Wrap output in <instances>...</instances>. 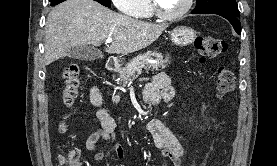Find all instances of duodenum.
<instances>
[{
	"instance_id": "duodenum-1",
	"label": "duodenum",
	"mask_w": 277,
	"mask_h": 166,
	"mask_svg": "<svg viewBox=\"0 0 277 166\" xmlns=\"http://www.w3.org/2000/svg\"><path fill=\"white\" fill-rule=\"evenodd\" d=\"M106 72L107 73H112L115 72L118 68H119V62L114 59V58H108L107 62H106ZM150 102L153 104L158 103V96L157 94H153L151 96Z\"/></svg>"
}]
</instances>
